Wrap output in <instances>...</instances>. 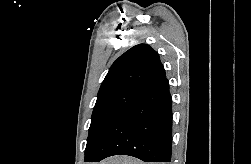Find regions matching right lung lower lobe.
Returning a JSON list of instances; mask_svg holds the SVG:
<instances>
[{
	"mask_svg": "<svg viewBox=\"0 0 251 164\" xmlns=\"http://www.w3.org/2000/svg\"><path fill=\"white\" fill-rule=\"evenodd\" d=\"M172 99L163 80L141 90L139 97L113 122L85 162L129 155L144 162H170Z\"/></svg>",
	"mask_w": 251,
	"mask_h": 164,
	"instance_id": "right-lung-lower-lobe-1",
	"label": "right lung lower lobe"
}]
</instances>
